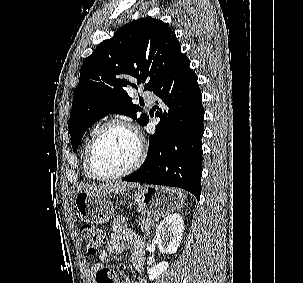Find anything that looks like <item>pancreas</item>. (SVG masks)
<instances>
[{
    "instance_id": "obj_1",
    "label": "pancreas",
    "mask_w": 303,
    "mask_h": 283,
    "mask_svg": "<svg viewBox=\"0 0 303 283\" xmlns=\"http://www.w3.org/2000/svg\"><path fill=\"white\" fill-rule=\"evenodd\" d=\"M138 226L142 231L149 233V229L154 224V220L152 218H141L137 221Z\"/></svg>"
}]
</instances>
